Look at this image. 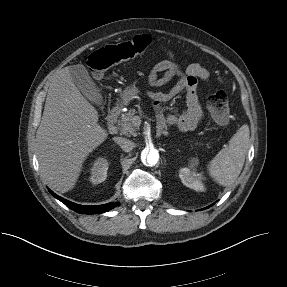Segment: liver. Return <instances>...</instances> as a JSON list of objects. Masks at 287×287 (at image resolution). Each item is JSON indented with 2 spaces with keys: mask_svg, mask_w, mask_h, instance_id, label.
I'll list each match as a JSON object with an SVG mask.
<instances>
[{
  "mask_svg": "<svg viewBox=\"0 0 287 287\" xmlns=\"http://www.w3.org/2000/svg\"><path fill=\"white\" fill-rule=\"evenodd\" d=\"M98 112L80 93L69 67L50 83L36 147L42 176L54 190L74 188L86 157L108 136L98 125Z\"/></svg>",
  "mask_w": 287,
  "mask_h": 287,
  "instance_id": "liver-1",
  "label": "liver"
}]
</instances>
